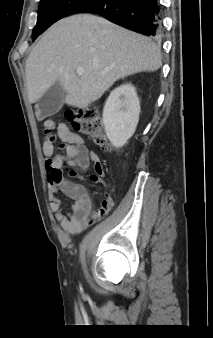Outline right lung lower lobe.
I'll use <instances>...</instances> for the list:
<instances>
[{
	"label": "right lung lower lobe",
	"mask_w": 213,
	"mask_h": 338,
	"mask_svg": "<svg viewBox=\"0 0 213 338\" xmlns=\"http://www.w3.org/2000/svg\"><path fill=\"white\" fill-rule=\"evenodd\" d=\"M94 13L135 32L158 37L162 30L159 0H92L74 13Z\"/></svg>",
	"instance_id": "right-lung-lower-lobe-1"
}]
</instances>
